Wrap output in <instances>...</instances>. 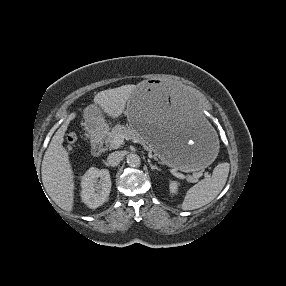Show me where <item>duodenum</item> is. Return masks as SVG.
Wrapping results in <instances>:
<instances>
[{
	"mask_svg": "<svg viewBox=\"0 0 286 286\" xmlns=\"http://www.w3.org/2000/svg\"><path fill=\"white\" fill-rule=\"evenodd\" d=\"M103 151V139L100 133L95 132L91 136V154L95 157L101 155Z\"/></svg>",
	"mask_w": 286,
	"mask_h": 286,
	"instance_id": "1",
	"label": "duodenum"
}]
</instances>
